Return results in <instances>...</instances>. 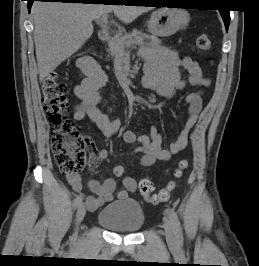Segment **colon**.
I'll list each match as a JSON object with an SVG mask.
<instances>
[{
	"label": "colon",
	"mask_w": 259,
	"mask_h": 266,
	"mask_svg": "<svg viewBox=\"0 0 259 266\" xmlns=\"http://www.w3.org/2000/svg\"><path fill=\"white\" fill-rule=\"evenodd\" d=\"M196 45L200 50L209 51L211 40L206 33H200L196 38ZM67 86L57 73H51L42 86V103L45 114L55 129L52 133L51 145L55 162L60 171L66 175L78 174L86 164V147L89 139L81 134L74 122L67 116L69 103L67 100ZM188 168L187 160H180L174 171L173 179L158 193H154L155 186L148 177L139 182V191L147 201L157 204L167 201L175 187L177 179ZM125 169L119 165L114 168L117 177L123 176Z\"/></svg>",
	"instance_id": "colon-1"
}]
</instances>
